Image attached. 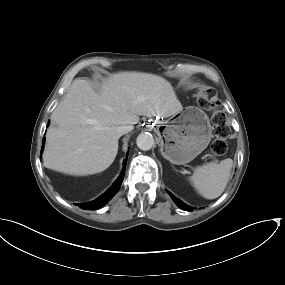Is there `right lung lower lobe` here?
Here are the masks:
<instances>
[{"label":"right lung lower lobe","instance_id":"obj_1","mask_svg":"<svg viewBox=\"0 0 285 285\" xmlns=\"http://www.w3.org/2000/svg\"><path fill=\"white\" fill-rule=\"evenodd\" d=\"M44 143H45V138H43L42 144L44 145ZM41 150H43V146ZM126 161H127V158L124 159L122 173L120 174V176L117 178V180L114 182V184L109 190H107L104 194H102L99 198L95 199L94 201L89 202V203L78 204V206L81 209H85V210H97L101 208L102 206H104L113 197V195L118 192L121 186V183L124 178Z\"/></svg>","mask_w":285,"mask_h":285}]
</instances>
